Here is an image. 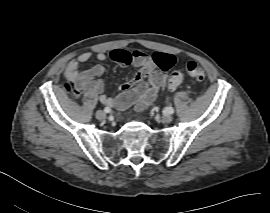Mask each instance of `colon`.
Returning a JSON list of instances; mask_svg holds the SVG:
<instances>
[{
	"label": "colon",
	"mask_w": 270,
	"mask_h": 213,
	"mask_svg": "<svg viewBox=\"0 0 270 213\" xmlns=\"http://www.w3.org/2000/svg\"><path fill=\"white\" fill-rule=\"evenodd\" d=\"M139 53H142L141 51H133L131 53L125 51V50H114L110 53V57L119 62V63H128L133 56L139 55ZM152 61H154L156 64H159L166 69L169 68L172 64V58L169 55L165 54H156L152 57H149ZM187 71L190 77L197 81H202L205 78V71L201 65L194 61H189L187 63ZM140 77H145L147 75V70H142L139 73ZM183 81V75L180 71H174L171 73L168 86L171 89H175L178 86L181 85ZM70 93H72L70 91ZM134 97V94L129 96V99H132Z\"/></svg>",
	"instance_id": "5ec220e1"
}]
</instances>
